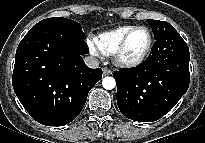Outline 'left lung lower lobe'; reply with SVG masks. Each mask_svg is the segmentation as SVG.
I'll return each mask as SVG.
<instances>
[{"label": "left lung lower lobe", "mask_w": 205, "mask_h": 143, "mask_svg": "<svg viewBox=\"0 0 205 143\" xmlns=\"http://www.w3.org/2000/svg\"><path fill=\"white\" fill-rule=\"evenodd\" d=\"M189 60L188 46L177 31L156 39L147 60L113 74L121 113L139 122L163 117L189 87Z\"/></svg>", "instance_id": "left-lung-lower-lobe-1"}]
</instances>
